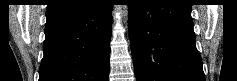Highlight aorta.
Here are the masks:
<instances>
[{
  "label": "aorta",
  "instance_id": "aorta-1",
  "mask_svg": "<svg viewBox=\"0 0 237 81\" xmlns=\"http://www.w3.org/2000/svg\"><path fill=\"white\" fill-rule=\"evenodd\" d=\"M121 15L123 17L124 22L127 21V18H128V6L127 5L122 6Z\"/></svg>",
  "mask_w": 237,
  "mask_h": 81
}]
</instances>
